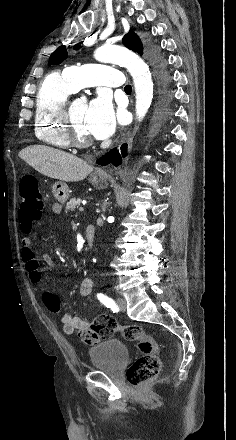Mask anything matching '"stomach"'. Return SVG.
<instances>
[{"instance_id":"stomach-1","label":"stomach","mask_w":236,"mask_h":440,"mask_svg":"<svg viewBox=\"0 0 236 440\" xmlns=\"http://www.w3.org/2000/svg\"><path fill=\"white\" fill-rule=\"evenodd\" d=\"M90 183L97 189H104L108 185V176L102 170H97L90 175ZM55 199L64 204L69 198V187L62 181L55 182L52 186Z\"/></svg>"}]
</instances>
